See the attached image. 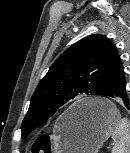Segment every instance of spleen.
Wrapping results in <instances>:
<instances>
[{
  "instance_id": "spleen-1",
  "label": "spleen",
  "mask_w": 130,
  "mask_h": 153,
  "mask_svg": "<svg viewBox=\"0 0 130 153\" xmlns=\"http://www.w3.org/2000/svg\"><path fill=\"white\" fill-rule=\"evenodd\" d=\"M112 139L114 141L112 153H130V122L127 118L118 121Z\"/></svg>"
}]
</instances>
